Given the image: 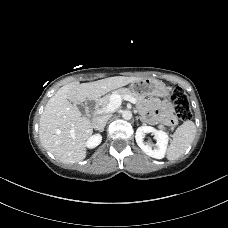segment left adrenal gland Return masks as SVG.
<instances>
[{
    "instance_id": "a2214340",
    "label": "left adrenal gland",
    "mask_w": 228,
    "mask_h": 228,
    "mask_svg": "<svg viewBox=\"0 0 228 228\" xmlns=\"http://www.w3.org/2000/svg\"><path fill=\"white\" fill-rule=\"evenodd\" d=\"M137 119H140L142 123H145L144 119L142 117H137Z\"/></svg>"
}]
</instances>
